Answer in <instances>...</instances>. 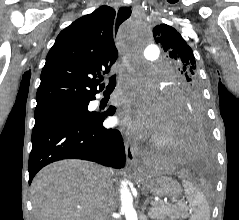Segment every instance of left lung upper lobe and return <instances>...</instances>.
I'll return each mask as SVG.
<instances>
[{
    "mask_svg": "<svg viewBox=\"0 0 239 220\" xmlns=\"http://www.w3.org/2000/svg\"><path fill=\"white\" fill-rule=\"evenodd\" d=\"M153 32L156 43L163 47L176 71L175 80L168 89L167 106L171 116L197 106L204 108L201 82L190 46L169 25H157Z\"/></svg>",
    "mask_w": 239,
    "mask_h": 220,
    "instance_id": "obj_1",
    "label": "left lung upper lobe"
}]
</instances>
